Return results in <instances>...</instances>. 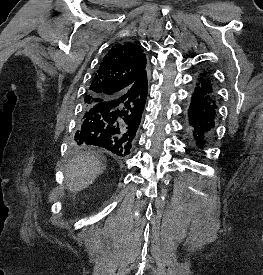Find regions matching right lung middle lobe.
<instances>
[{
	"label": "right lung middle lobe",
	"instance_id": "right-lung-middle-lobe-1",
	"mask_svg": "<svg viewBox=\"0 0 263 275\" xmlns=\"http://www.w3.org/2000/svg\"><path fill=\"white\" fill-rule=\"evenodd\" d=\"M100 101H101V99H99V98L93 97L91 95H86L85 98H84L85 108L90 107V106H92V105H94V104H96ZM76 149L79 150V149H82V147L81 146H76Z\"/></svg>",
	"mask_w": 263,
	"mask_h": 275
}]
</instances>
